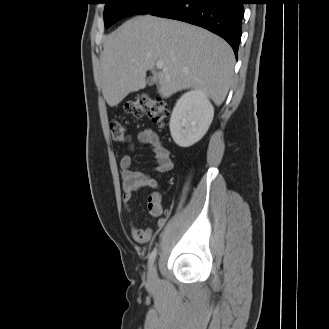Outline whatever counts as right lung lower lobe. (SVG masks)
Masks as SVG:
<instances>
[{
  "mask_svg": "<svg viewBox=\"0 0 329 329\" xmlns=\"http://www.w3.org/2000/svg\"><path fill=\"white\" fill-rule=\"evenodd\" d=\"M243 3V0H172L150 14L203 27L225 39L237 56Z\"/></svg>",
  "mask_w": 329,
  "mask_h": 329,
  "instance_id": "98d812e1",
  "label": "right lung lower lobe"
}]
</instances>
